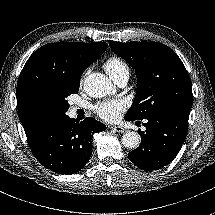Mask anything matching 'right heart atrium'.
Here are the masks:
<instances>
[{"mask_svg": "<svg viewBox=\"0 0 215 215\" xmlns=\"http://www.w3.org/2000/svg\"><path fill=\"white\" fill-rule=\"evenodd\" d=\"M86 74H87V73H84V75L82 76V78H81V80H80V85L83 84V81H84V79H85V77H86Z\"/></svg>", "mask_w": 215, "mask_h": 215, "instance_id": "obj_1", "label": "right heart atrium"}]
</instances>
